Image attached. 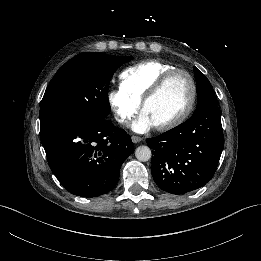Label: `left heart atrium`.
Segmentation results:
<instances>
[{"label":"left heart atrium","instance_id":"39dd6f15","mask_svg":"<svg viewBox=\"0 0 261 261\" xmlns=\"http://www.w3.org/2000/svg\"><path fill=\"white\" fill-rule=\"evenodd\" d=\"M155 126L151 118L145 113H141L139 118L133 123L132 128L138 133H144Z\"/></svg>","mask_w":261,"mask_h":261}]
</instances>
